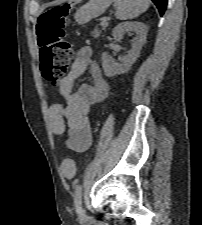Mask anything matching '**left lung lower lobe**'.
I'll use <instances>...</instances> for the list:
<instances>
[{"label": "left lung lower lobe", "instance_id": "1", "mask_svg": "<svg viewBox=\"0 0 202 225\" xmlns=\"http://www.w3.org/2000/svg\"><path fill=\"white\" fill-rule=\"evenodd\" d=\"M152 1L157 6L160 15L162 16L164 14V11L166 10L167 0H152Z\"/></svg>", "mask_w": 202, "mask_h": 225}]
</instances>
